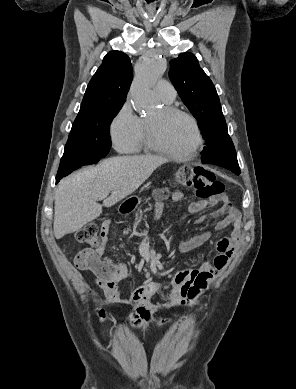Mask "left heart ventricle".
Here are the masks:
<instances>
[{
  "label": "left heart ventricle",
  "mask_w": 296,
  "mask_h": 389,
  "mask_svg": "<svg viewBox=\"0 0 296 389\" xmlns=\"http://www.w3.org/2000/svg\"><path fill=\"white\" fill-rule=\"evenodd\" d=\"M154 135L164 147L176 152L188 151L195 141V133L188 119L179 115H168L159 109L147 118Z\"/></svg>",
  "instance_id": "obj_1"
}]
</instances>
